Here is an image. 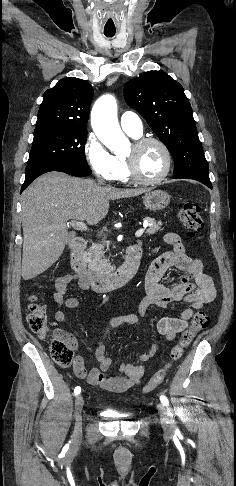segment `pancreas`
I'll use <instances>...</instances> for the list:
<instances>
[{
	"instance_id": "1",
	"label": "pancreas",
	"mask_w": 236,
	"mask_h": 486,
	"mask_svg": "<svg viewBox=\"0 0 236 486\" xmlns=\"http://www.w3.org/2000/svg\"><path fill=\"white\" fill-rule=\"evenodd\" d=\"M148 222V228L146 229V233L148 235H152L157 232L160 227L162 226V221H156L153 218L146 217L144 218ZM109 247V243L107 241H102L101 243H93L92 246L88 249L87 253L84 256V264L89 268V270L103 273L109 272L113 268L110 266V263L107 259L104 258V248Z\"/></svg>"
}]
</instances>
